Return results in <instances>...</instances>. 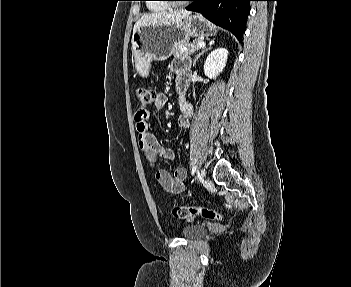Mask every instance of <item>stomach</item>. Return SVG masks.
<instances>
[{
  "label": "stomach",
  "mask_w": 351,
  "mask_h": 287,
  "mask_svg": "<svg viewBox=\"0 0 351 287\" xmlns=\"http://www.w3.org/2000/svg\"><path fill=\"white\" fill-rule=\"evenodd\" d=\"M216 27L199 15L188 16L172 25H147L139 27L132 36V58L135 69L147 76L152 61H164L174 46L190 37L212 36Z\"/></svg>",
  "instance_id": "obj_1"
}]
</instances>
